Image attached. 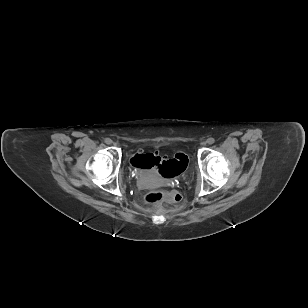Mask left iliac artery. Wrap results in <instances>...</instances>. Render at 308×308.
<instances>
[{
  "label": "left iliac artery",
  "mask_w": 308,
  "mask_h": 308,
  "mask_svg": "<svg viewBox=\"0 0 308 308\" xmlns=\"http://www.w3.org/2000/svg\"><path fill=\"white\" fill-rule=\"evenodd\" d=\"M207 142H208L209 144H213V143L215 142V140H214V138H209V139L207 140Z\"/></svg>",
  "instance_id": "44dca946"
}]
</instances>
